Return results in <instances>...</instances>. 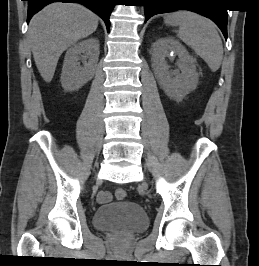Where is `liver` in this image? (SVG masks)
Masks as SVG:
<instances>
[{
	"mask_svg": "<svg viewBox=\"0 0 259 266\" xmlns=\"http://www.w3.org/2000/svg\"><path fill=\"white\" fill-rule=\"evenodd\" d=\"M97 27V15L74 3H52L34 15L28 38L42 78L50 82L61 54Z\"/></svg>",
	"mask_w": 259,
	"mask_h": 266,
	"instance_id": "liver-1",
	"label": "liver"
}]
</instances>
